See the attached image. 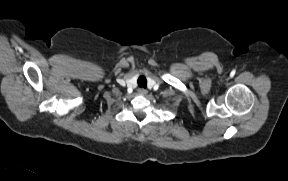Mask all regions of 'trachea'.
Listing matches in <instances>:
<instances>
[{"instance_id":"obj_1","label":"trachea","mask_w":288,"mask_h":181,"mask_svg":"<svg viewBox=\"0 0 288 181\" xmlns=\"http://www.w3.org/2000/svg\"><path fill=\"white\" fill-rule=\"evenodd\" d=\"M138 85H139V87H143V88H146V86H147V81H146V78H145V76H140L139 78H138Z\"/></svg>"}]
</instances>
